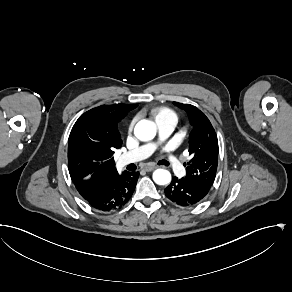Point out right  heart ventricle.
<instances>
[{
	"label": "right heart ventricle",
	"instance_id": "right-heart-ventricle-1",
	"mask_svg": "<svg viewBox=\"0 0 292 292\" xmlns=\"http://www.w3.org/2000/svg\"><path fill=\"white\" fill-rule=\"evenodd\" d=\"M152 114L155 116L156 119H158V117L161 115V114H168L169 116H175V113H173L172 111H170L169 109L165 108V107H157V108H154L152 110Z\"/></svg>",
	"mask_w": 292,
	"mask_h": 292
}]
</instances>
